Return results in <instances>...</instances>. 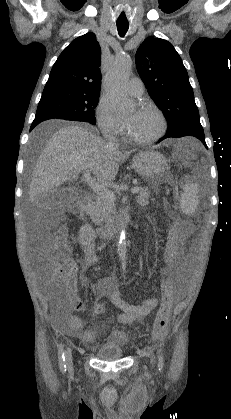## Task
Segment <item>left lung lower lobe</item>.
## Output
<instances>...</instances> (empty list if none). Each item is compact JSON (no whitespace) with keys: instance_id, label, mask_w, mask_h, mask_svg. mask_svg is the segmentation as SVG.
<instances>
[{"instance_id":"1","label":"left lung lower lobe","mask_w":231,"mask_h":419,"mask_svg":"<svg viewBox=\"0 0 231 419\" xmlns=\"http://www.w3.org/2000/svg\"><path fill=\"white\" fill-rule=\"evenodd\" d=\"M184 136H193L198 138L207 148L206 142H205V136H204V131L202 126H188L178 132L172 133V134H166L163 138H161L159 141L166 139V138H170V137H174V138H179V137H184Z\"/></svg>"}]
</instances>
